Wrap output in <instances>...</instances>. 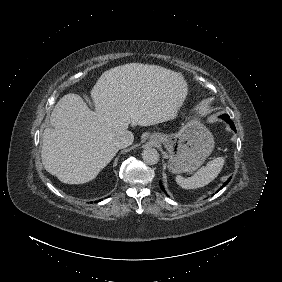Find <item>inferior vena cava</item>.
I'll return each instance as SVG.
<instances>
[{
	"label": "inferior vena cava",
	"instance_id": "inferior-vena-cava-1",
	"mask_svg": "<svg viewBox=\"0 0 282 282\" xmlns=\"http://www.w3.org/2000/svg\"><path fill=\"white\" fill-rule=\"evenodd\" d=\"M133 142V135L130 131L117 134L113 138V144L116 148L122 149L128 147Z\"/></svg>",
	"mask_w": 282,
	"mask_h": 282
}]
</instances>
